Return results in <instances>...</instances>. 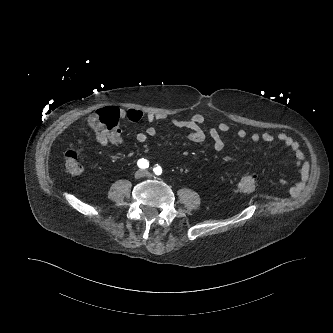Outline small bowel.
<instances>
[{"mask_svg": "<svg viewBox=\"0 0 333 333\" xmlns=\"http://www.w3.org/2000/svg\"><path fill=\"white\" fill-rule=\"evenodd\" d=\"M121 116L132 122L146 120L149 123V125L144 130L137 133L136 141L138 143H145L148 138L156 136L157 129L155 127V124L162 123L168 119L167 116L163 113L144 114L142 111L133 108L123 111L121 113ZM207 121L208 119L205 115L194 114L187 119L171 118L169 120V123L175 128L186 129L188 131L186 138L192 143H202L208 135L212 142V149L215 152H221L225 148L223 134L229 133L231 131V127L227 123L219 122L211 125L206 133L201 126L205 125ZM236 136L239 139H245L248 137V133L245 129H238L236 131ZM249 138L253 143H274L276 141H279L292 151L295 157L296 165L302 170L301 180H299L291 188V191L293 193L297 192L300 186L303 184L304 177L306 176L308 171V162L299 142L285 132H278L276 134L270 132L252 133ZM109 143L119 145L124 144V140L119 130L110 139H108V137L105 135H100L96 139V144L100 148L107 147ZM248 175H251L256 181V175Z\"/></svg>", "mask_w": 333, "mask_h": 333, "instance_id": "1", "label": "small bowel"}]
</instances>
